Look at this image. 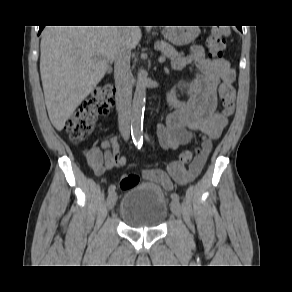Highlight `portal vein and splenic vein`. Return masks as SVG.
<instances>
[{"label":"portal vein and splenic vein","mask_w":292,"mask_h":292,"mask_svg":"<svg viewBox=\"0 0 292 292\" xmlns=\"http://www.w3.org/2000/svg\"><path fill=\"white\" fill-rule=\"evenodd\" d=\"M165 61V57L164 56H161L160 58H159V62H164Z\"/></svg>","instance_id":"18ae733b"}]
</instances>
